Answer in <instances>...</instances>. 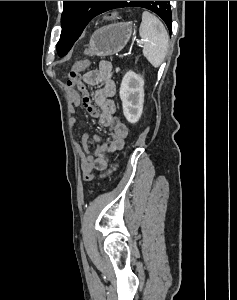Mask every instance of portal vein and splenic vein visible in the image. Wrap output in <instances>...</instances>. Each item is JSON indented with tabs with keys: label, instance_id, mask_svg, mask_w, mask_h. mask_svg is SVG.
Masks as SVG:
<instances>
[{
	"label": "portal vein and splenic vein",
	"instance_id": "1",
	"mask_svg": "<svg viewBox=\"0 0 237 300\" xmlns=\"http://www.w3.org/2000/svg\"><path fill=\"white\" fill-rule=\"evenodd\" d=\"M137 43H139V45H142V43H144V41H137Z\"/></svg>",
	"mask_w": 237,
	"mask_h": 300
}]
</instances>
